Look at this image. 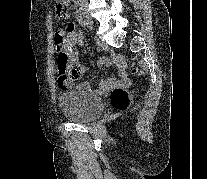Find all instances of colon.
<instances>
[{"instance_id":"obj_1","label":"colon","mask_w":207,"mask_h":179,"mask_svg":"<svg viewBox=\"0 0 207 179\" xmlns=\"http://www.w3.org/2000/svg\"><path fill=\"white\" fill-rule=\"evenodd\" d=\"M68 11V0H55V13L57 17L62 18ZM58 48L57 72L62 83H70L78 79L82 74V68L70 63L67 53L63 49V41L55 40ZM133 95L123 87H116L110 93V104L117 111H125Z\"/></svg>"}]
</instances>
